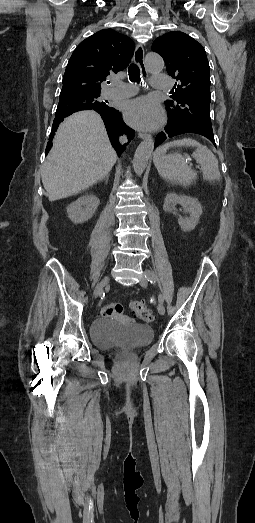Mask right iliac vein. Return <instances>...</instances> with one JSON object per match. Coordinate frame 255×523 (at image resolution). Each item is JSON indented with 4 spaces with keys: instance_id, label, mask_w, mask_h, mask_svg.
I'll use <instances>...</instances> for the list:
<instances>
[{
    "instance_id": "obj_1",
    "label": "right iliac vein",
    "mask_w": 255,
    "mask_h": 523,
    "mask_svg": "<svg viewBox=\"0 0 255 523\" xmlns=\"http://www.w3.org/2000/svg\"><path fill=\"white\" fill-rule=\"evenodd\" d=\"M109 283V278H104L96 287L94 295L97 297L103 290V288Z\"/></svg>"
}]
</instances>
